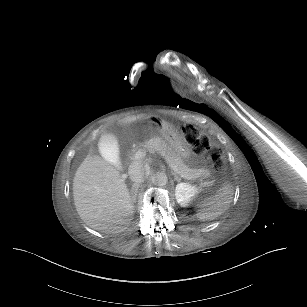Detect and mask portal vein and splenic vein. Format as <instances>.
<instances>
[{
  "label": "portal vein and splenic vein",
  "mask_w": 307,
  "mask_h": 307,
  "mask_svg": "<svg viewBox=\"0 0 307 307\" xmlns=\"http://www.w3.org/2000/svg\"><path fill=\"white\" fill-rule=\"evenodd\" d=\"M148 153V150L146 148H137L135 150V159L137 161H142L145 157H146V154ZM178 174L181 172L179 169L176 171ZM183 177H185L186 179H188L189 181L191 180L189 174H185L184 172L181 174ZM199 184H200V187L203 189V185L201 183L200 180L197 181Z\"/></svg>",
  "instance_id": "1"
}]
</instances>
